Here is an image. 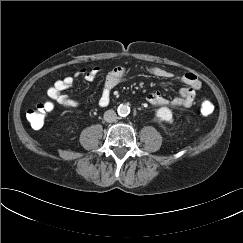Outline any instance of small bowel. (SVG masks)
Segmentation results:
<instances>
[{
    "mask_svg": "<svg viewBox=\"0 0 243 243\" xmlns=\"http://www.w3.org/2000/svg\"><path fill=\"white\" fill-rule=\"evenodd\" d=\"M147 70L150 74L158 78L168 79L173 77V74L170 71L160 67H151ZM101 71L100 67H94L90 70L81 69L74 76H67L62 79H58L47 90V95L51 100L58 103L65 109L78 114L80 113L81 103L63 92L73 85L76 78L82 77L84 80L92 82L97 78ZM127 74L128 69L123 66H117L107 73L104 80L103 91L98 100L100 107H106L109 104L112 90ZM181 81L186 85V87L182 88L179 95L172 100H168L158 91H152L148 94L147 101L152 105L159 106L170 105L173 107H190L194 103L196 94L201 88V82L193 73H185L181 77Z\"/></svg>",
    "mask_w": 243,
    "mask_h": 243,
    "instance_id": "obj_1",
    "label": "small bowel"
}]
</instances>
